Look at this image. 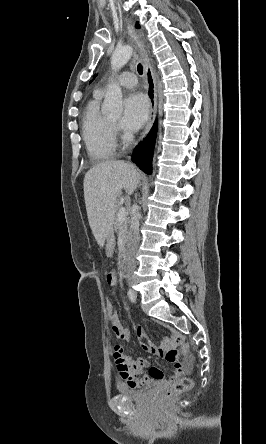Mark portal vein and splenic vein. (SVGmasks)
<instances>
[{
  "label": "portal vein and splenic vein",
  "instance_id": "1",
  "mask_svg": "<svg viewBox=\"0 0 266 444\" xmlns=\"http://www.w3.org/2000/svg\"><path fill=\"white\" fill-rule=\"evenodd\" d=\"M118 219L121 220L126 216V210L124 207H122L119 211H118Z\"/></svg>",
  "mask_w": 266,
  "mask_h": 444
}]
</instances>
